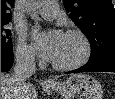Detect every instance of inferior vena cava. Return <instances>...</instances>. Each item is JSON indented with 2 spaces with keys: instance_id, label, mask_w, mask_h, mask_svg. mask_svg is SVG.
Wrapping results in <instances>:
<instances>
[{
  "instance_id": "inferior-vena-cava-1",
  "label": "inferior vena cava",
  "mask_w": 115,
  "mask_h": 99,
  "mask_svg": "<svg viewBox=\"0 0 115 99\" xmlns=\"http://www.w3.org/2000/svg\"><path fill=\"white\" fill-rule=\"evenodd\" d=\"M35 71L33 56L27 53L16 55L13 78L17 91L22 92L26 88V81L35 73Z\"/></svg>"
}]
</instances>
